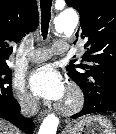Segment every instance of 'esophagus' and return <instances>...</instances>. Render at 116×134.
<instances>
[{"instance_id":"34e87169","label":"esophagus","mask_w":116,"mask_h":134,"mask_svg":"<svg viewBox=\"0 0 116 134\" xmlns=\"http://www.w3.org/2000/svg\"><path fill=\"white\" fill-rule=\"evenodd\" d=\"M47 114V111H41L38 113V119L42 120Z\"/></svg>"}]
</instances>
